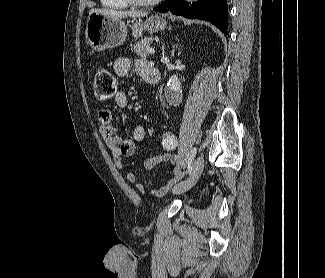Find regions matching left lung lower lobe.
<instances>
[{
	"label": "left lung lower lobe",
	"instance_id": "1",
	"mask_svg": "<svg viewBox=\"0 0 325 278\" xmlns=\"http://www.w3.org/2000/svg\"><path fill=\"white\" fill-rule=\"evenodd\" d=\"M154 10L162 13L170 11L186 18L207 20L224 34H228L226 0H199L191 6L184 0H168Z\"/></svg>",
	"mask_w": 325,
	"mask_h": 278
}]
</instances>
